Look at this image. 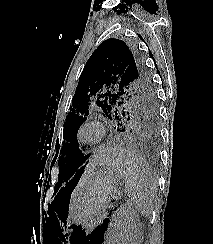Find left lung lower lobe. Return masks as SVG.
Listing matches in <instances>:
<instances>
[{
  "mask_svg": "<svg viewBox=\"0 0 213 244\" xmlns=\"http://www.w3.org/2000/svg\"><path fill=\"white\" fill-rule=\"evenodd\" d=\"M116 130L119 131V132H126V133L130 134L133 138L137 139L138 141L146 142L147 143V146L150 147L151 150L156 145L157 136L155 138L148 139V140L141 139L136 134H133V132H131V129H128L127 127H124V124L123 123H120L117 126V129ZM90 155L91 154L84 155L82 152L79 154V156H78V158L76 160L75 166L73 168V172H72L73 173V177L71 178V180L69 181V183L76 184L79 181L80 176L82 175V173L84 171V168H85V166L87 164V159L90 157Z\"/></svg>",
  "mask_w": 213,
  "mask_h": 244,
  "instance_id": "obj_1",
  "label": "left lung lower lobe"
}]
</instances>
